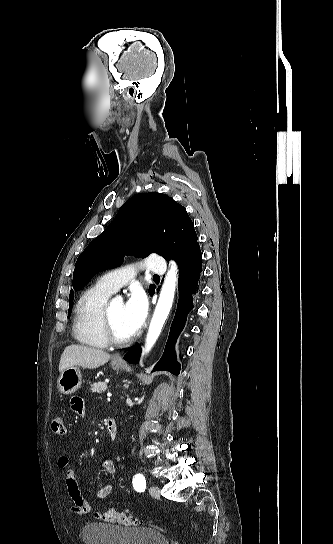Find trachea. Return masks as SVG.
<instances>
[{"instance_id":"trachea-1","label":"trachea","mask_w":333,"mask_h":544,"mask_svg":"<svg viewBox=\"0 0 333 544\" xmlns=\"http://www.w3.org/2000/svg\"><path fill=\"white\" fill-rule=\"evenodd\" d=\"M154 278H159V276H158V275H154Z\"/></svg>"}]
</instances>
